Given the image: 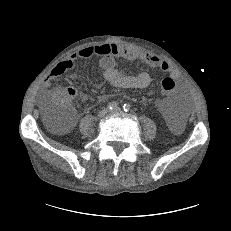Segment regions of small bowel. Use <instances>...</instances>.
Masks as SVG:
<instances>
[{
  "instance_id": "obj_1",
  "label": "small bowel",
  "mask_w": 231,
  "mask_h": 231,
  "mask_svg": "<svg viewBox=\"0 0 231 231\" xmlns=\"http://www.w3.org/2000/svg\"><path fill=\"white\" fill-rule=\"evenodd\" d=\"M92 56L100 57L99 67L103 72L105 80L112 86L117 88H146L151 83V77L147 72H140L137 74H126L116 68V58H125L128 60H139L150 67L159 68L164 72L169 73L174 79L178 78L177 71L171 64L163 60L156 54L142 52L133 48H125L116 44H100L82 48L81 50L73 53L65 60L59 62L42 81V86L48 88L51 82L63 75L65 72L72 70L76 66L78 59H87ZM71 88V87H69ZM74 89V88H73ZM75 90V89H74ZM76 94V91H75ZM82 100L87 99L86 94L80 95ZM106 95L100 97L101 100L106 99ZM158 106L164 116L170 120H175V114L168 109V101L162 99L158 102ZM75 123V116L70 122L72 127Z\"/></svg>"
}]
</instances>
